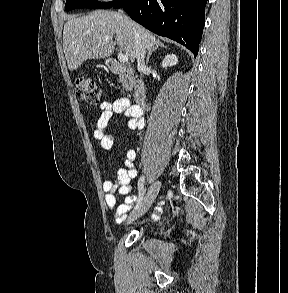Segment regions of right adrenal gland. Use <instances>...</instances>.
<instances>
[{
  "label": "right adrenal gland",
  "instance_id": "obj_1",
  "mask_svg": "<svg viewBox=\"0 0 288 293\" xmlns=\"http://www.w3.org/2000/svg\"><path fill=\"white\" fill-rule=\"evenodd\" d=\"M159 47H161V48H166L167 46H165L163 43H161V42H158L157 43V47L155 48V49H153L152 51H149L148 52V54H147V57H146V63L148 64V62H149V59H150V56L152 55V52L153 51H155L157 48H159Z\"/></svg>",
  "mask_w": 288,
  "mask_h": 293
}]
</instances>
